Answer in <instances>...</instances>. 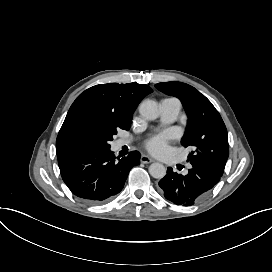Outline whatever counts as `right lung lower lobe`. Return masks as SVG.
I'll return each instance as SVG.
<instances>
[{
  "label": "right lung lower lobe",
  "instance_id": "right-lung-lower-lobe-1",
  "mask_svg": "<svg viewBox=\"0 0 272 272\" xmlns=\"http://www.w3.org/2000/svg\"><path fill=\"white\" fill-rule=\"evenodd\" d=\"M140 154L132 151L116 160L109 149L75 150L58 156L63 181L82 201L97 205L118 194L131 168L140 164Z\"/></svg>",
  "mask_w": 272,
  "mask_h": 272
}]
</instances>
